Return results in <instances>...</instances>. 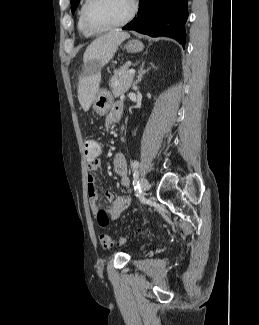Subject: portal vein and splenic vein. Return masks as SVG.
I'll list each match as a JSON object with an SVG mask.
<instances>
[{
	"instance_id": "18ae733b",
	"label": "portal vein and splenic vein",
	"mask_w": 259,
	"mask_h": 325,
	"mask_svg": "<svg viewBox=\"0 0 259 325\" xmlns=\"http://www.w3.org/2000/svg\"><path fill=\"white\" fill-rule=\"evenodd\" d=\"M129 73H130V74H135V69H130V70H129Z\"/></svg>"
}]
</instances>
